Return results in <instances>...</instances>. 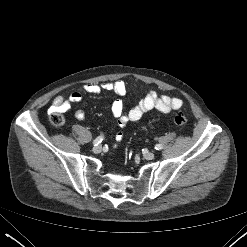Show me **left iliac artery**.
Listing matches in <instances>:
<instances>
[{"label":"left iliac artery","instance_id":"obj_1","mask_svg":"<svg viewBox=\"0 0 247 247\" xmlns=\"http://www.w3.org/2000/svg\"><path fill=\"white\" fill-rule=\"evenodd\" d=\"M163 147H162V145L161 144H157L156 146H155V149L156 150H161Z\"/></svg>","mask_w":247,"mask_h":247}]
</instances>
